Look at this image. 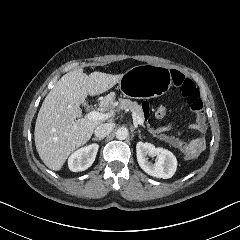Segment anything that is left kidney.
<instances>
[{
  "label": "left kidney",
  "instance_id": "obj_1",
  "mask_svg": "<svg viewBox=\"0 0 240 240\" xmlns=\"http://www.w3.org/2000/svg\"><path fill=\"white\" fill-rule=\"evenodd\" d=\"M136 154L139 166L148 175L169 179L177 169V159L172 152L163 148H156L151 143L138 142L136 144ZM155 157V163H151L146 159V156Z\"/></svg>",
  "mask_w": 240,
  "mask_h": 240
}]
</instances>
